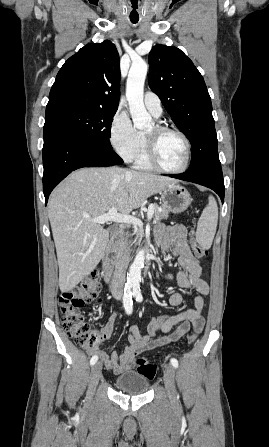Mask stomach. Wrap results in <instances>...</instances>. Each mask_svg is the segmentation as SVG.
<instances>
[{
    "instance_id": "0dacf381",
    "label": "stomach",
    "mask_w": 269,
    "mask_h": 447,
    "mask_svg": "<svg viewBox=\"0 0 269 447\" xmlns=\"http://www.w3.org/2000/svg\"><path fill=\"white\" fill-rule=\"evenodd\" d=\"M161 198L163 206L173 214H181L189 208L192 202L189 192L182 186H175V184H170L165 190H162Z\"/></svg>"
}]
</instances>
